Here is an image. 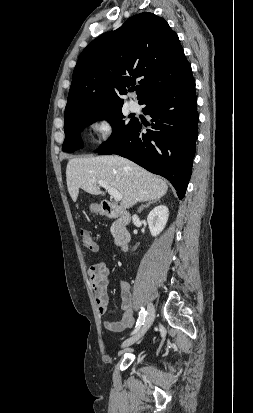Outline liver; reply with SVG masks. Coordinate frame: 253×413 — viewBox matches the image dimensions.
<instances>
[{"mask_svg": "<svg viewBox=\"0 0 253 413\" xmlns=\"http://www.w3.org/2000/svg\"><path fill=\"white\" fill-rule=\"evenodd\" d=\"M66 181L73 202L80 188L104 196L98 184L104 181L122 194L120 205L124 209L138 202L159 200L168 190L164 180L120 156L72 158L66 167Z\"/></svg>", "mask_w": 253, "mask_h": 413, "instance_id": "6515ba94", "label": "liver"}]
</instances>
